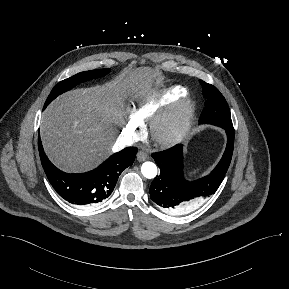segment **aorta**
Returning <instances> with one entry per match:
<instances>
[{"label":"aorta","instance_id":"aorta-1","mask_svg":"<svg viewBox=\"0 0 289 289\" xmlns=\"http://www.w3.org/2000/svg\"><path fill=\"white\" fill-rule=\"evenodd\" d=\"M141 172L145 178L152 179L157 175V166L153 162L142 164Z\"/></svg>","mask_w":289,"mask_h":289}]
</instances>
